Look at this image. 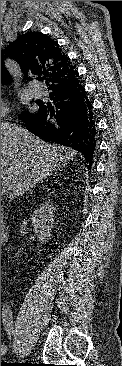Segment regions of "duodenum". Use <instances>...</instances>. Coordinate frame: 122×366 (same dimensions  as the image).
Instances as JSON below:
<instances>
[{
	"label": "duodenum",
	"mask_w": 122,
	"mask_h": 366,
	"mask_svg": "<svg viewBox=\"0 0 122 366\" xmlns=\"http://www.w3.org/2000/svg\"><path fill=\"white\" fill-rule=\"evenodd\" d=\"M5 238H6V233H5V230H4V228L1 224V243L4 242Z\"/></svg>",
	"instance_id": "duodenum-1"
}]
</instances>
